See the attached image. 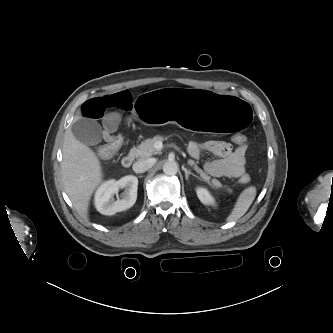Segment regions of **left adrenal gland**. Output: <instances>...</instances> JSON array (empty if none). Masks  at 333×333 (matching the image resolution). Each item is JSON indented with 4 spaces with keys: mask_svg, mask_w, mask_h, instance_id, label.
Segmentation results:
<instances>
[{
    "mask_svg": "<svg viewBox=\"0 0 333 333\" xmlns=\"http://www.w3.org/2000/svg\"><path fill=\"white\" fill-rule=\"evenodd\" d=\"M182 169H183L184 172H185V178H186L187 181L189 180V176H190V175H192V176H194V177L200 179L199 176L195 175V174L192 173L190 170H187L185 167H182Z\"/></svg>",
    "mask_w": 333,
    "mask_h": 333,
    "instance_id": "a2214340",
    "label": "left adrenal gland"
}]
</instances>
